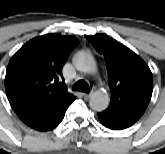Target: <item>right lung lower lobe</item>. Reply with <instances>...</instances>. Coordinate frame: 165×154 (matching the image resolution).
I'll list each match as a JSON object with an SVG mask.
<instances>
[{
  "instance_id": "1",
  "label": "right lung lower lobe",
  "mask_w": 165,
  "mask_h": 154,
  "mask_svg": "<svg viewBox=\"0 0 165 154\" xmlns=\"http://www.w3.org/2000/svg\"><path fill=\"white\" fill-rule=\"evenodd\" d=\"M74 100L73 95L67 94L20 118L33 129L48 131L55 128L63 120L67 108Z\"/></svg>"
}]
</instances>
